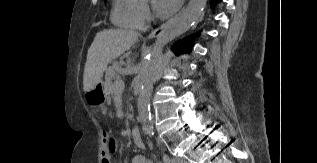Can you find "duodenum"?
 Masks as SVG:
<instances>
[{
    "label": "duodenum",
    "mask_w": 317,
    "mask_h": 163,
    "mask_svg": "<svg viewBox=\"0 0 317 163\" xmlns=\"http://www.w3.org/2000/svg\"><path fill=\"white\" fill-rule=\"evenodd\" d=\"M131 136L134 144L137 146H143L144 145V140L142 137V133L139 128H133L131 130Z\"/></svg>",
    "instance_id": "obj_1"
}]
</instances>
